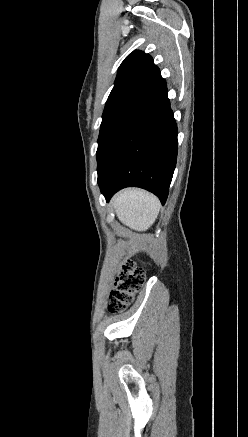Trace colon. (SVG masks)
I'll use <instances>...</instances> for the list:
<instances>
[{"label": "colon", "instance_id": "5ec220e1", "mask_svg": "<svg viewBox=\"0 0 248 437\" xmlns=\"http://www.w3.org/2000/svg\"><path fill=\"white\" fill-rule=\"evenodd\" d=\"M145 283V271L133 264H124L114 281L109 296L108 310L110 313L124 311L133 301L135 295Z\"/></svg>", "mask_w": 248, "mask_h": 437}]
</instances>
